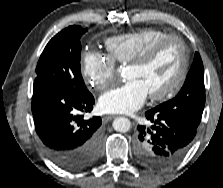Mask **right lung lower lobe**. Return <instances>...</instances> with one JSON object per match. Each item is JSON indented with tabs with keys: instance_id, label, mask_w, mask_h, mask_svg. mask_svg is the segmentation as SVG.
<instances>
[{
	"instance_id": "right-lung-lower-lobe-1",
	"label": "right lung lower lobe",
	"mask_w": 223,
	"mask_h": 188,
	"mask_svg": "<svg viewBox=\"0 0 223 188\" xmlns=\"http://www.w3.org/2000/svg\"><path fill=\"white\" fill-rule=\"evenodd\" d=\"M91 93L34 84L32 114L36 133L48 157L60 168L76 172L91 166L101 150L100 117L84 119L93 109Z\"/></svg>"
}]
</instances>
